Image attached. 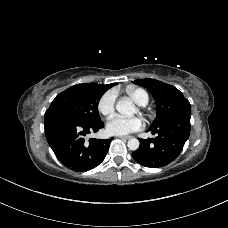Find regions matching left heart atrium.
<instances>
[{"mask_svg": "<svg viewBox=\"0 0 228 228\" xmlns=\"http://www.w3.org/2000/svg\"><path fill=\"white\" fill-rule=\"evenodd\" d=\"M142 127L143 122L139 117L125 118L120 115L110 117L106 125L107 131L114 135H126Z\"/></svg>", "mask_w": 228, "mask_h": 228, "instance_id": "obj_1", "label": "left heart atrium"}]
</instances>
